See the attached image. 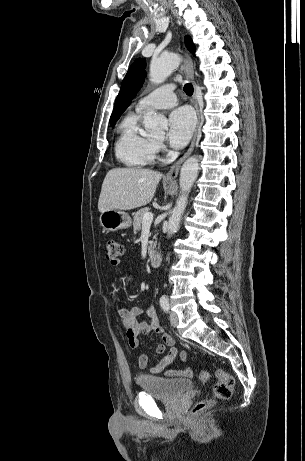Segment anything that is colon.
Here are the masks:
<instances>
[{
	"label": "colon",
	"instance_id": "1",
	"mask_svg": "<svg viewBox=\"0 0 305 461\" xmlns=\"http://www.w3.org/2000/svg\"><path fill=\"white\" fill-rule=\"evenodd\" d=\"M104 248L106 252V258L112 265H117L121 258L124 256V247L117 240H106L104 243ZM215 375L218 381L213 386L211 397L200 400L196 403L192 410L194 415L207 410L218 401L227 400L231 397L235 384L233 376L224 370H217ZM199 378L202 381H207L209 378L208 372L206 370H201L199 373Z\"/></svg>",
	"mask_w": 305,
	"mask_h": 461
}]
</instances>
